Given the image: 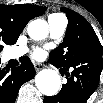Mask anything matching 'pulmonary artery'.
Listing matches in <instances>:
<instances>
[{"label":"pulmonary artery","mask_w":103,"mask_h":103,"mask_svg":"<svg viewBox=\"0 0 103 103\" xmlns=\"http://www.w3.org/2000/svg\"><path fill=\"white\" fill-rule=\"evenodd\" d=\"M48 25H49L50 37L53 39H59L64 35L66 31L67 19L65 16L60 14L57 16H49ZM26 52H27L26 47L14 48L9 52V57L16 59L23 56Z\"/></svg>","instance_id":"pulmonary-artery-1"}]
</instances>
